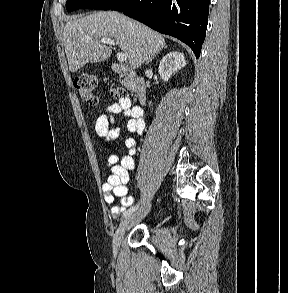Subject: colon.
<instances>
[{
	"label": "colon",
	"mask_w": 288,
	"mask_h": 293,
	"mask_svg": "<svg viewBox=\"0 0 288 293\" xmlns=\"http://www.w3.org/2000/svg\"><path fill=\"white\" fill-rule=\"evenodd\" d=\"M78 95L87 103L96 104L99 100V82L93 75L83 74L74 81ZM114 97L124 98L127 92L123 88H115L111 91Z\"/></svg>",
	"instance_id": "colon-1"
}]
</instances>
